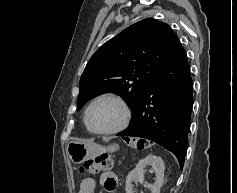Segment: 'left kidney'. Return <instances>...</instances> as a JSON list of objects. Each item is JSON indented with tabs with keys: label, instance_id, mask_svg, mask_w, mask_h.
<instances>
[{
	"label": "left kidney",
	"instance_id": "obj_1",
	"mask_svg": "<svg viewBox=\"0 0 237 193\" xmlns=\"http://www.w3.org/2000/svg\"><path fill=\"white\" fill-rule=\"evenodd\" d=\"M147 165H151L156 171V179L154 184H144L152 193H160V188L164 180V162L162 158L155 155H148L140 160L136 167L128 174L126 178V193H134L133 182L144 183V169Z\"/></svg>",
	"mask_w": 237,
	"mask_h": 193
}]
</instances>
